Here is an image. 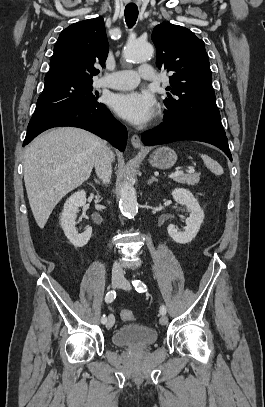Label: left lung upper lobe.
Segmentation results:
<instances>
[{
  "instance_id": "1",
  "label": "left lung upper lobe",
  "mask_w": 265,
  "mask_h": 407,
  "mask_svg": "<svg viewBox=\"0 0 265 407\" xmlns=\"http://www.w3.org/2000/svg\"><path fill=\"white\" fill-rule=\"evenodd\" d=\"M159 69L173 73L163 122L189 120L225 132L215 101L209 58L203 40L182 26L157 25L152 32Z\"/></svg>"
}]
</instances>
